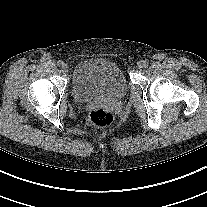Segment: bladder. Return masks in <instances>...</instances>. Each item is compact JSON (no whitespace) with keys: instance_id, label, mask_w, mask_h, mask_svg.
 Returning a JSON list of instances; mask_svg holds the SVG:
<instances>
[{"instance_id":"bladder-1","label":"bladder","mask_w":207,"mask_h":207,"mask_svg":"<svg viewBox=\"0 0 207 207\" xmlns=\"http://www.w3.org/2000/svg\"><path fill=\"white\" fill-rule=\"evenodd\" d=\"M71 90L76 102L87 103L121 98L128 91V83L114 62L85 59L78 62L72 71Z\"/></svg>"}]
</instances>
